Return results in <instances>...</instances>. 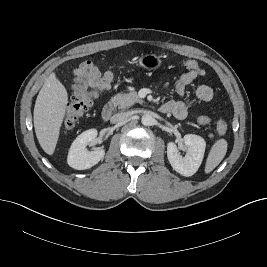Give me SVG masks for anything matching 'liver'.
I'll return each instance as SVG.
<instances>
[{"instance_id": "liver-1", "label": "liver", "mask_w": 267, "mask_h": 267, "mask_svg": "<svg viewBox=\"0 0 267 267\" xmlns=\"http://www.w3.org/2000/svg\"><path fill=\"white\" fill-rule=\"evenodd\" d=\"M67 103V90L53 72L39 91L33 112L37 139L48 155L55 151Z\"/></svg>"}]
</instances>
